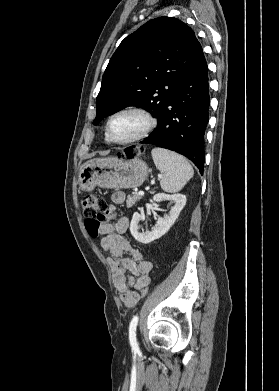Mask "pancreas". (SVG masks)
Listing matches in <instances>:
<instances>
[{
  "label": "pancreas",
  "mask_w": 279,
  "mask_h": 391,
  "mask_svg": "<svg viewBox=\"0 0 279 391\" xmlns=\"http://www.w3.org/2000/svg\"><path fill=\"white\" fill-rule=\"evenodd\" d=\"M140 199H141V195H139L136 192H133L132 195H128L127 200H126V205L128 207H132Z\"/></svg>",
  "instance_id": "cf45deb5"
}]
</instances>
